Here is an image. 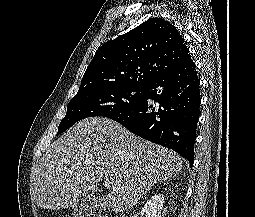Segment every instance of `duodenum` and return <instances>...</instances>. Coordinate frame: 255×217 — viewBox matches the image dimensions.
<instances>
[{
  "instance_id": "410a0bca",
  "label": "duodenum",
  "mask_w": 255,
  "mask_h": 217,
  "mask_svg": "<svg viewBox=\"0 0 255 217\" xmlns=\"http://www.w3.org/2000/svg\"><path fill=\"white\" fill-rule=\"evenodd\" d=\"M100 217H107V216L102 215V216H100Z\"/></svg>"
}]
</instances>
